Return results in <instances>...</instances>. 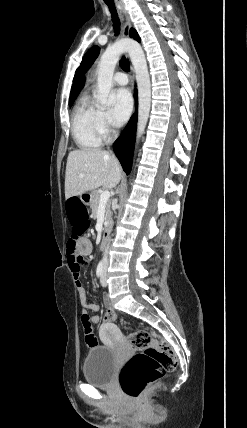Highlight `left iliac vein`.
I'll return each mask as SVG.
<instances>
[{
  "label": "left iliac vein",
  "mask_w": 247,
  "mask_h": 428,
  "mask_svg": "<svg viewBox=\"0 0 247 428\" xmlns=\"http://www.w3.org/2000/svg\"><path fill=\"white\" fill-rule=\"evenodd\" d=\"M100 282H101V285L103 287L107 286V281H106V267L104 268V271H103V274H102Z\"/></svg>",
  "instance_id": "left-iliac-vein-1"
}]
</instances>
